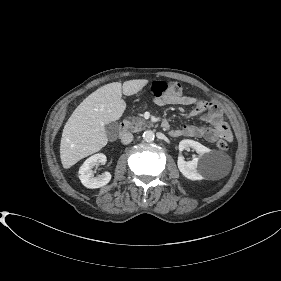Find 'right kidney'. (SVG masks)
<instances>
[{
  "label": "right kidney",
  "mask_w": 281,
  "mask_h": 281,
  "mask_svg": "<svg viewBox=\"0 0 281 281\" xmlns=\"http://www.w3.org/2000/svg\"><path fill=\"white\" fill-rule=\"evenodd\" d=\"M106 163V156L103 153L92 155L85 160L83 165L79 169V179L81 183L90 189L100 188L108 184L111 180V174L105 172L97 177H94L92 168L99 164L104 165Z\"/></svg>",
  "instance_id": "1"
}]
</instances>
